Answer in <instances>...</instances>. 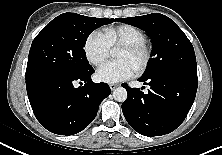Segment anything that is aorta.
<instances>
[{"instance_id":"obj_1","label":"aorta","mask_w":222,"mask_h":155,"mask_svg":"<svg viewBox=\"0 0 222 155\" xmlns=\"http://www.w3.org/2000/svg\"><path fill=\"white\" fill-rule=\"evenodd\" d=\"M127 95V91L123 87H118L113 91V98L118 102L126 101Z\"/></svg>"}]
</instances>
